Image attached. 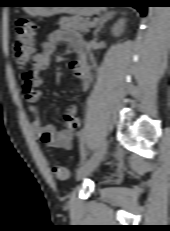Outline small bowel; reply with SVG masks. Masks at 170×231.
Instances as JSON below:
<instances>
[{
  "instance_id": "obj_1",
  "label": "small bowel",
  "mask_w": 170,
  "mask_h": 231,
  "mask_svg": "<svg viewBox=\"0 0 170 231\" xmlns=\"http://www.w3.org/2000/svg\"><path fill=\"white\" fill-rule=\"evenodd\" d=\"M68 43L78 54V58L70 63L72 75L81 82L82 91H86L91 84V76L86 64L83 42L81 37L72 31L56 29L52 31L46 41L42 44L41 51L33 57V67L31 68L33 77L24 80L22 90L29 112L34 120L31 123L33 133L45 144L53 148L69 149L72 146L75 131L79 127V119L76 116L77 106L68 107L63 114L65 127L56 130L52 125L43 124L37 102L41 92L37 87L41 84L40 74L48 69L52 55L58 45Z\"/></svg>"
}]
</instances>
